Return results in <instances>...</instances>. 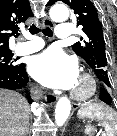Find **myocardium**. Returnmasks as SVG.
Instances as JSON below:
<instances>
[{
	"label": "myocardium",
	"mask_w": 117,
	"mask_h": 136,
	"mask_svg": "<svg viewBox=\"0 0 117 136\" xmlns=\"http://www.w3.org/2000/svg\"><path fill=\"white\" fill-rule=\"evenodd\" d=\"M78 80L84 84V88L75 87L71 92V97L78 101H86L93 97L97 91V82L94 76L89 73H82Z\"/></svg>",
	"instance_id": "obj_1"
}]
</instances>
